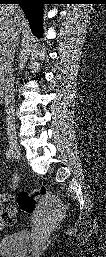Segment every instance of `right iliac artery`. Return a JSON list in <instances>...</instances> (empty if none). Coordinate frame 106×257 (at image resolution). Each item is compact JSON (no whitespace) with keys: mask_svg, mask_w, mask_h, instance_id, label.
I'll return each instance as SVG.
<instances>
[{"mask_svg":"<svg viewBox=\"0 0 106 257\" xmlns=\"http://www.w3.org/2000/svg\"><path fill=\"white\" fill-rule=\"evenodd\" d=\"M11 157H12L11 149L7 148V150H6V158H7V160L10 161Z\"/></svg>","mask_w":106,"mask_h":257,"instance_id":"82829eb1","label":"right iliac artery"}]
</instances>
